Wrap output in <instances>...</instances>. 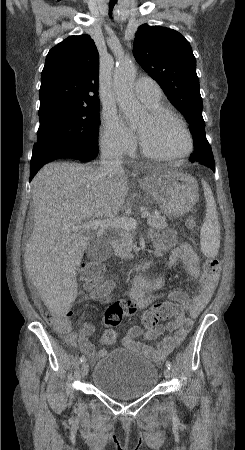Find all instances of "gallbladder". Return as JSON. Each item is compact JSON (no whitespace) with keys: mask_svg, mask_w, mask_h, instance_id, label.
<instances>
[{"mask_svg":"<svg viewBox=\"0 0 245 450\" xmlns=\"http://www.w3.org/2000/svg\"><path fill=\"white\" fill-rule=\"evenodd\" d=\"M86 253L90 259L105 260L106 254L110 253V251L104 244L97 241H91L86 248Z\"/></svg>","mask_w":245,"mask_h":450,"instance_id":"gallbladder-1","label":"gallbladder"}]
</instances>
